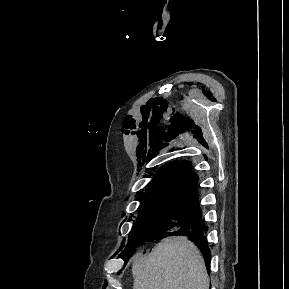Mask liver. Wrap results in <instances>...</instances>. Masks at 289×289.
I'll return each instance as SVG.
<instances>
[{
  "label": "liver",
  "mask_w": 289,
  "mask_h": 289,
  "mask_svg": "<svg viewBox=\"0 0 289 289\" xmlns=\"http://www.w3.org/2000/svg\"><path fill=\"white\" fill-rule=\"evenodd\" d=\"M133 289H209L203 257L187 237L166 238L132 265Z\"/></svg>",
  "instance_id": "1"
}]
</instances>
